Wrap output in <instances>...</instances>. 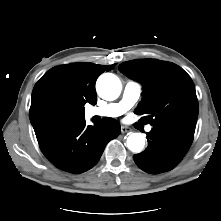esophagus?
Here are the masks:
<instances>
[{
    "label": "esophagus",
    "instance_id": "esophagus-1",
    "mask_svg": "<svg viewBox=\"0 0 221 221\" xmlns=\"http://www.w3.org/2000/svg\"><path fill=\"white\" fill-rule=\"evenodd\" d=\"M131 131V129L129 128V127H127V126H121V132L122 133H128V132H130Z\"/></svg>",
    "mask_w": 221,
    "mask_h": 221
}]
</instances>
